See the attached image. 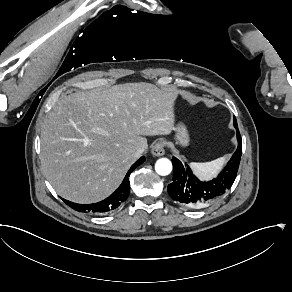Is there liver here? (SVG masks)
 I'll return each instance as SVG.
<instances>
[{
	"instance_id": "liver-1",
	"label": "liver",
	"mask_w": 292,
	"mask_h": 292,
	"mask_svg": "<svg viewBox=\"0 0 292 292\" xmlns=\"http://www.w3.org/2000/svg\"><path fill=\"white\" fill-rule=\"evenodd\" d=\"M177 98L174 90L130 83L59 100L42 127L43 174L65 199H104L136 161V149L147 148L143 136L176 130Z\"/></svg>"
}]
</instances>
